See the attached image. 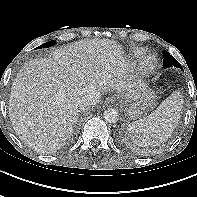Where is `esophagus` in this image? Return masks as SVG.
<instances>
[{"mask_svg": "<svg viewBox=\"0 0 197 197\" xmlns=\"http://www.w3.org/2000/svg\"><path fill=\"white\" fill-rule=\"evenodd\" d=\"M105 102L106 104L114 105L116 102V99L114 97H110V98H107Z\"/></svg>", "mask_w": 197, "mask_h": 197, "instance_id": "1", "label": "esophagus"}]
</instances>
